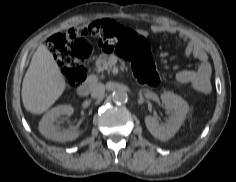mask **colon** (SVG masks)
Here are the masks:
<instances>
[{"label": "colon", "instance_id": "1", "mask_svg": "<svg viewBox=\"0 0 236 182\" xmlns=\"http://www.w3.org/2000/svg\"><path fill=\"white\" fill-rule=\"evenodd\" d=\"M89 37L98 38L104 48L128 60L141 84L158 85L160 75L146 38L115 21L102 20L54 34L48 39L47 47L56 58L68 87L78 86L86 78L84 62L92 52Z\"/></svg>", "mask_w": 236, "mask_h": 182}]
</instances>
